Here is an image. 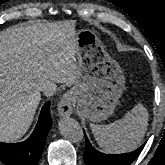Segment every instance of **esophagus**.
<instances>
[{"instance_id": "1", "label": "esophagus", "mask_w": 165, "mask_h": 165, "mask_svg": "<svg viewBox=\"0 0 165 165\" xmlns=\"http://www.w3.org/2000/svg\"><path fill=\"white\" fill-rule=\"evenodd\" d=\"M58 112L61 117H69L73 112V95L66 93L58 104Z\"/></svg>"}]
</instances>
